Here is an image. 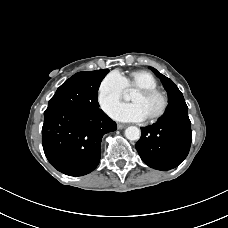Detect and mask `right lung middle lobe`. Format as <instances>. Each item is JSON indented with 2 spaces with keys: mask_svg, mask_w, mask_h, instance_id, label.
Instances as JSON below:
<instances>
[{
  "mask_svg": "<svg viewBox=\"0 0 228 228\" xmlns=\"http://www.w3.org/2000/svg\"><path fill=\"white\" fill-rule=\"evenodd\" d=\"M108 69L79 72L67 79L48 103V108L60 107L78 111L99 108L97 92Z\"/></svg>",
  "mask_w": 228,
  "mask_h": 228,
  "instance_id": "1",
  "label": "right lung middle lobe"
}]
</instances>
